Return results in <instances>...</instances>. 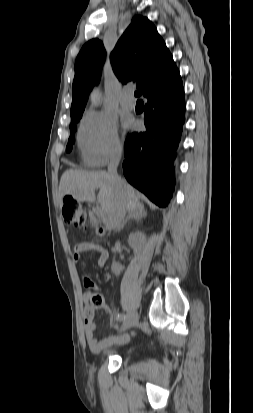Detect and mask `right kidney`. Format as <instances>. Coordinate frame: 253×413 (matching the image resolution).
Returning <instances> with one entry per match:
<instances>
[{
    "mask_svg": "<svg viewBox=\"0 0 253 413\" xmlns=\"http://www.w3.org/2000/svg\"><path fill=\"white\" fill-rule=\"evenodd\" d=\"M128 244L134 248L135 252H141L145 245V235L140 231L131 233L128 237ZM111 269L112 272L118 276L124 267L119 262L113 261Z\"/></svg>",
    "mask_w": 253,
    "mask_h": 413,
    "instance_id": "right-kidney-1",
    "label": "right kidney"
}]
</instances>
